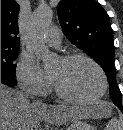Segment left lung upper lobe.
<instances>
[{"label":"left lung upper lobe","instance_id":"obj_1","mask_svg":"<svg viewBox=\"0 0 123 130\" xmlns=\"http://www.w3.org/2000/svg\"><path fill=\"white\" fill-rule=\"evenodd\" d=\"M57 9L67 38L102 67L109 80L111 100L122 107L115 79L113 30L107 12L95 0H61Z\"/></svg>","mask_w":123,"mask_h":130}]
</instances>
